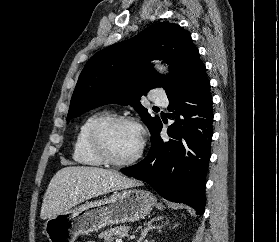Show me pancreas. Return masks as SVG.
Returning <instances> with one entry per match:
<instances>
[{"mask_svg": "<svg viewBox=\"0 0 279 242\" xmlns=\"http://www.w3.org/2000/svg\"><path fill=\"white\" fill-rule=\"evenodd\" d=\"M130 231L129 226H119L110 228L98 235L100 239H104V242H113L115 238H123L127 236L128 232Z\"/></svg>", "mask_w": 279, "mask_h": 242, "instance_id": "1", "label": "pancreas"}]
</instances>
